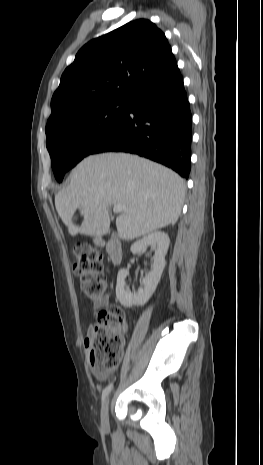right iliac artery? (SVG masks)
Returning a JSON list of instances; mask_svg holds the SVG:
<instances>
[{
  "mask_svg": "<svg viewBox=\"0 0 263 465\" xmlns=\"http://www.w3.org/2000/svg\"><path fill=\"white\" fill-rule=\"evenodd\" d=\"M113 388V383L109 384L102 393V402L105 401L106 397L110 393L111 389Z\"/></svg>",
  "mask_w": 263,
  "mask_h": 465,
  "instance_id": "1",
  "label": "right iliac artery"
}]
</instances>
